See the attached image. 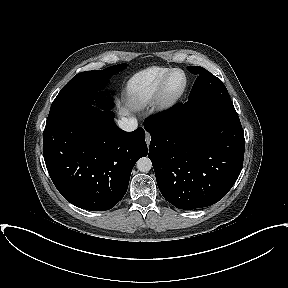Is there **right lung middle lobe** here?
I'll return each instance as SVG.
<instances>
[{
    "mask_svg": "<svg viewBox=\"0 0 288 288\" xmlns=\"http://www.w3.org/2000/svg\"><path fill=\"white\" fill-rule=\"evenodd\" d=\"M125 64H118L104 70L86 71L75 75L59 92L52 103L47 121L70 110L90 106L93 99L96 104L109 109L113 106L110 99H106L101 90L106 80L119 71Z\"/></svg>",
    "mask_w": 288,
    "mask_h": 288,
    "instance_id": "1",
    "label": "right lung middle lobe"
}]
</instances>
